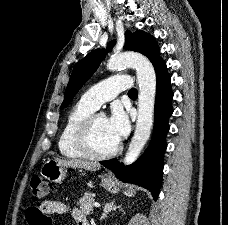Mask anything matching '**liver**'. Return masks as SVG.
I'll list each match as a JSON object with an SVG mask.
<instances>
[{
    "label": "liver",
    "instance_id": "liver-1",
    "mask_svg": "<svg viewBox=\"0 0 228 225\" xmlns=\"http://www.w3.org/2000/svg\"><path fill=\"white\" fill-rule=\"evenodd\" d=\"M59 163H63V165H67V167H72V169H86V171H96V167L100 169V165L98 163H90V161H61V159H57Z\"/></svg>",
    "mask_w": 228,
    "mask_h": 225
}]
</instances>
